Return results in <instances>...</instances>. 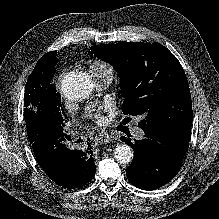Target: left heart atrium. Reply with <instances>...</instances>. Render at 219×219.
Segmentation results:
<instances>
[{
  "instance_id": "left-heart-atrium-1",
  "label": "left heart atrium",
  "mask_w": 219,
  "mask_h": 219,
  "mask_svg": "<svg viewBox=\"0 0 219 219\" xmlns=\"http://www.w3.org/2000/svg\"><path fill=\"white\" fill-rule=\"evenodd\" d=\"M91 119L97 124H103L105 122V117L101 114V110H98L90 115Z\"/></svg>"
}]
</instances>
